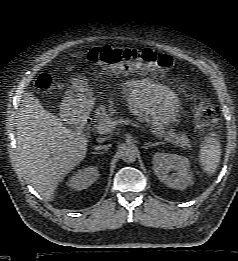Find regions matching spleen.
Instances as JSON below:
<instances>
[{"mask_svg": "<svg viewBox=\"0 0 238 261\" xmlns=\"http://www.w3.org/2000/svg\"><path fill=\"white\" fill-rule=\"evenodd\" d=\"M221 159L220 142L215 137H209L202 145L199 163L204 172L212 175L216 172Z\"/></svg>", "mask_w": 238, "mask_h": 261, "instance_id": "1", "label": "spleen"}]
</instances>
